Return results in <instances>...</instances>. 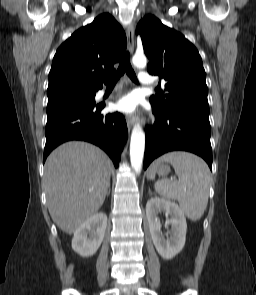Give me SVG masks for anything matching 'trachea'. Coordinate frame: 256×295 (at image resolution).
I'll use <instances>...</instances> for the list:
<instances>
[{
	"label": "trachea",
	"mask_w": 256,
	"mask_h": 295,
	"mask_svg": "<svg viewBox=\"0 0 256 295\" xmlns=\"http://www.w3.org/2000/svg\"><path fill=\"white\" fill-rule=\"evenodd\" d=\"M124 73H126L130 79L136 83H138L137 77L135 75L134 70L132 69V66L130 64V54L129 52H126L124 56L121 59L120 65L118 67L117 72L114 74L112 79L110 80V85H115L117 80L122 76Z\"/></svg>",
	"instance_id": "3493384b"
}]
</instances>
